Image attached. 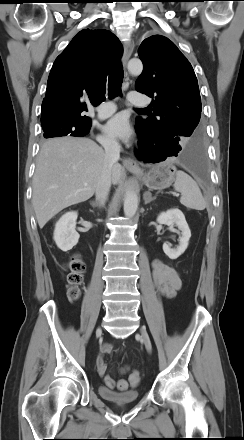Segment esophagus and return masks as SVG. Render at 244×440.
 Returning a JSON list of instances; mask_svg holds the SVG:
<instances>
[{
	"label": "esophagus",
	"instance_id": "esophagus-1",
	"mask_svg": "<svg viewBox=\"0 0 244 440\" xmlns=\"http://www.w3.org/2000/svg\"><path fill=\"white\" fill-rule=\"evenodd\" d=\"M133 50H134L133 40L130 39V40L125 41L124 42L123 58H122V64H123L124 69L127 66L128 60H129ZM123 164L125 167H128V168L139 169V165L137 164V162L129 157H127L123 160Z\"/></svg>",
	"mask_w": 244,
	"mask_h": 440
}]
</instances>
